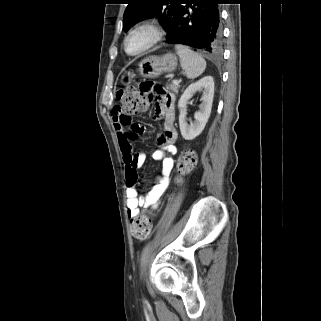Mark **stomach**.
<instances>
[{
    "label": "stomach",
    "instance_id": "0dacf381",
    "mask_svg": "<svg viewBox=\"0 0 321 321\" xmlns=\"http://www.w3.org/2000/svg\"><path fill=\"white\" fill-rule=\"evenodd\" d=\"M177 65L178 59L172 53H166L162 56H149L139 63L138 72L144 78H155L162 73L175 71ZM134 77L133 73L128 72L123 76V81L129 84Z\"/></svg>",
    "mask_w": 321,
    "mask_h": 321
}]
</instances>
